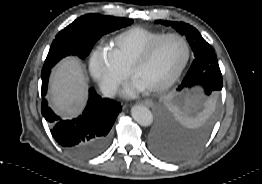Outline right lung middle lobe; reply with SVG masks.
Masks as SVG:
<instances>
[{
    "instance_id": "1",
    "label": "right lung middle lobe",
    "mask_w": 262,
    "mask_h": 184,
    "mask_svg": "<svg viewBox=\"0 0 262 184\" xmlns=\"http://www.w3.org/2000/svg\"><path fill=\"white\" fill-rule=\"evenodd\" d=\"M132 23V19L99 14H88L77 18L56 35L42 70L51 69L59 60L68 55L85 58L104 34Z\"/></svg>"
}]
</instances>
